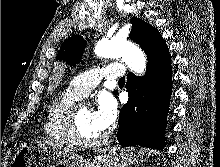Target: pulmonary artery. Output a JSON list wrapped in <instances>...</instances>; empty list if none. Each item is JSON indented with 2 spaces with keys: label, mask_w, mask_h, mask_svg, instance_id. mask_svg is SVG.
<instances>
[{
  "label": "pulmonary artery",
  "mask_w": 220,
  "mask_h": 167,
  "mask_svg": "<svg viewBox=\"0 0 220 167\" xmlns=\"http://www.w3.org/2000/svg\"><path fill=\"white\" fill-rule=\"evenodd\" d=\"M125 68L118 63H111L100 68L79 74L70 83L69 90L79 98L87 96L102 79H120Z\"/></svg>",
  "instance_id": "pulmonary-artery-1"
}]
</instances>
